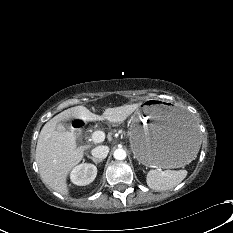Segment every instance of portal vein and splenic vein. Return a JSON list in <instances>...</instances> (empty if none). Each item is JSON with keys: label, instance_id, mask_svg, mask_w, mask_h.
I'll use <instances>...</instances> for the list:
<instances>
[{"label": "portal vein and splenic vein", "instance_id": "1", "mask_svg": "<svg viewBox=\"0 0 233 233\" xmlns=\"http://www.w3.org/2000/svg\"><path fill=\"white\" fill-rule=\"evenodd\" d=\"M91 138H92V141L95 143L103 142L105 139V133L103 131L97 130L93 132Z\"/></svg>", "mask_w": 233, "mask_h": 233}]
</instances>
